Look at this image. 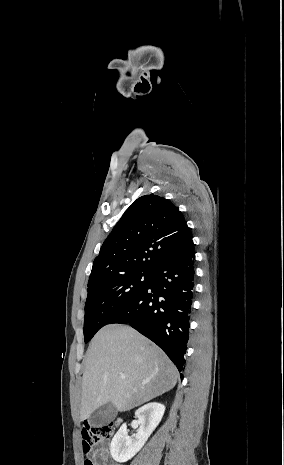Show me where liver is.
<instances>
[{
  "label": "liver",
  "instance_id": "1",
  "mask_svg": "<svg viewBox=\"0 0 284 465\" xmlns=\"http://www.w3.org/2000/svg\"><path fill=\"white\" fill-rule=\"evenodd\" d=\"M177 379L175 365L159 347L127 325H107L86 353L79 419L107 403L130 411L173 389Z\"/></svg>",
  "mask_w": 284,
  "mask_h": 465
}]
</instances>
